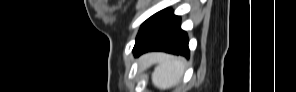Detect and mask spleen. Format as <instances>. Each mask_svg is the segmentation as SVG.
Returning a JSON list of instances; mask_svg holds the SVG:
<instances>
[{
  "label": "spleen",
  "mask_w": 296,
  "mask_h": 92,
  "mask_svg": "<svg viewBox=\"0 0 296 92\" xmlns=\"http://www.w3.org/2000/svg\"><path fill=\"white\" fill-rule=\"evenodd\" d=\"M158 65L152 73V83L159 89L176 85L184 73L185 60L160 54L156 56Z\"/></svg>",
  "instance_id": "obj_1"
}]
</instances>
